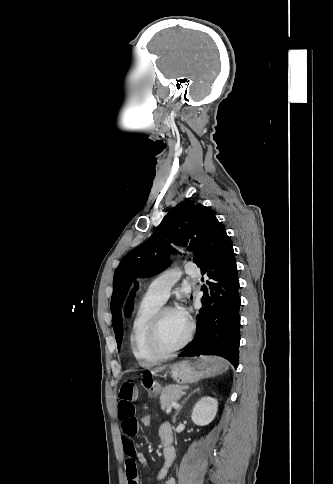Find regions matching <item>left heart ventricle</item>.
<instances>
[{
  "label": "left heart ventricle",
  "mask_w": 333,
  "mask_h": 484,
  "mask_svg": "<svg viewBox=\"0 0 333 484\" xmlns=\"http://www.w3.org/2000/svg\"><path fill=\"white\" fill-rule=\"evenodd\" d=\"M188 321L176 310L168 311L161 322L160 341L164 348L170 349L180 344L187 335Z\"/></svg>",
  "instance_id": "left-heart-ventricle-1"
}]
</instances>
